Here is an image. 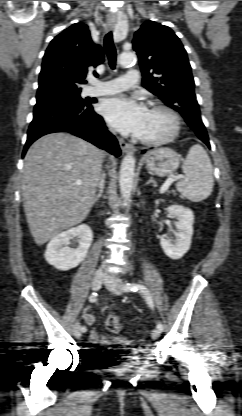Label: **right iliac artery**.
Masks as SVG:
<instances>
[{
    "label": "right iliac artery",
    "mask_w": 242,
    "mask_h": 416,
    "mask_svg": "<svg viewBox=\"0 0 242 416\" xmlns=\"http://www.w3.org/2000/svg\"><path fill=\"white\" fill-rule=\"evenodd\" d=\"M96 298H97V293H92L90 296H89V301L91 302V303H94L95 301H96ZM81 331L82 332H86L87 331V328H86V326H82L81 327Z\"/></svg>",
    "instance_id": "obj_1"
}]
</instances>
